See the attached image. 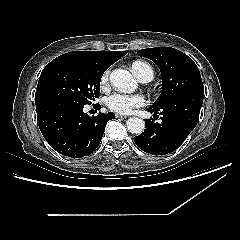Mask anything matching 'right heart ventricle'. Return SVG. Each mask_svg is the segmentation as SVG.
<instances>
[{"mask_svg":"<svg viewBox=\"0 0 240 240\" xmlns=\"http://www.w3.org/2000/svg\"><path fill=\"white\" fill-rule=\"evenodd\" d=\"M132 70L135 73V75L140 80H151L153 78V70L149 64H147L144 61L137 60L132 63Z\"/></svg>","mask_w":240,"mask_h":240,"instance_id":"1","label":"right heart ventricle"}]
</instances>
